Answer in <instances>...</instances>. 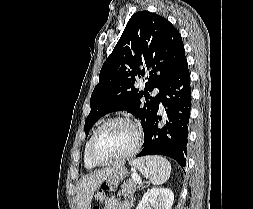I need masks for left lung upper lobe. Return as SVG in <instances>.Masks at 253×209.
I'll return each instance as SVG.
<instances>
[{"label": "left lung upper lobe", "mask_w": 253, "mask_h": 209, "mask_svg": "<svg viewBox=\"0 0 253 209\" xmlns=\"http://www.w3.org/2000/svg\"><path fill=\"white\" fill-rule=\"evenodd\" d=\"M183 59L181 35L166 18L148 11L135 13L101 68L85 121L86 136L98 119L118 110L138 117L145 135L157 114L162 88ZM143 77L145 90L140 91L134 85ZM155 87L159 94L149 97Z\"/></svg>", "instance_id": "left-lung-upper-lobe-1"}]
</instances>
